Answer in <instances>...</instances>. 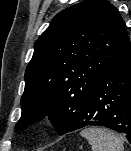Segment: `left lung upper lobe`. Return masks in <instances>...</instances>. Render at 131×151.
<instances>
[{"mask_svg":"<svg viewBox=\"0 0 131 151\" xmlns=\"http://www.w3.org/2000/svg\"><path fill=\"white\" fill-rule=\"evenodd\" d=\"M34 49L16 128L48 115L65 134L101 73L130 51V40L111 3L84 0L58 13Z\"/></svg>","mask_w":131,"mask_h":151,"instance_id":"1","label":"left lung upper lobe"}]
</instances>
